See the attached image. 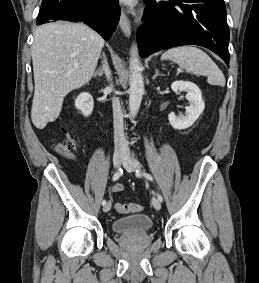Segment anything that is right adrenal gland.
Returning a JSON list of instances; mask_svg holds the SVG:
<instances>
[{
	"label": "right adrenal gland",
	"mask_w": 259,
	"mask_h": 283,
	"mask_svg": "<svg viewBox=\"0 0 259 283\" xmlns=\"http://www.w3.org/2000/svg\"><path fill=\"white\" fill-rule=\"evenodd\" d=\"M101 56H102V58H103V62H104V63H107L106 55H105L104 53H102ZM97 76H99V77L103 76V70H102L101 68H99V69L96 71V73H94V77H97Z\"/></svg>",
	"instance_id": "1"
}]
</instances>
